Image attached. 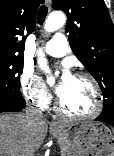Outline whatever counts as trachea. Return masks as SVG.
Listing matches in <instances>:
<instances>
[{
    "label": "trachea",
    "instance_id": "3493384b",
    "mask_svg": "<svg viewBox=\"0 0 114 156\" xmlns=\"http://www.w3.org/2000/svg\"><path fill=\"white\" fill-rule=\"evenodd\" d=\"M48 13V8L45 5H42L37 14L38 24L42 25L46 19Z\"/></svg>",
    "mask_w": 114,
    "mask_h": 156
}]
</instances>
